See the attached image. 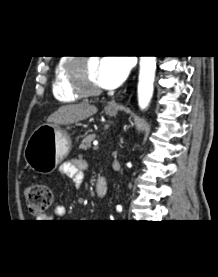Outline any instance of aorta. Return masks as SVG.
<instances>
[{"label": "aorta", "mask_w": 218, "mask_h": 277, "mask_svg": "<svg viewBox=\"0 0 218 277\" xmlns=\"http://www.w3.org/2000/svg\"><path fill=\"white\" fill-rule=\"evenodd\" d=\"M156 56H140L138 103L141 109L148 107L154 91ZM121 210V207H118Z\"/></svg>", "instance_id": "aorta-1"}]
</instances>
